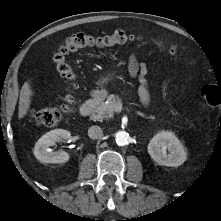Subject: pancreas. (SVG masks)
Listing matches in <instances>:
<instances>
[{"label": "pancreas", "mask_w": 221, "mask_h": 221, "mask_svg": "<svg viewBox=\"0 0 221 221\" xmlns=\"http://www.w3.org/2000/svg\"><path fill=\"white\" fill-rule=\"evenodd\" d=\"M106 100V101H105ZM120 101L118 95L106 93L99 95L95 100V107L92 111L93 120H102L111 118L115 112V105Z\"/></svg>", "instance_id": "pancreas-1"}]
</instances>
